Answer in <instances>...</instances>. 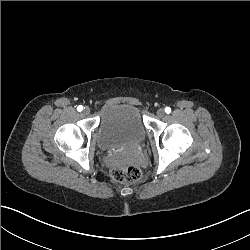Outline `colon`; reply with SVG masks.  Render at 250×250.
<instances>
[{
	"label": "colon",
	"mask_w": 250,
	"mask_h": 250,
	"mask_svg": "<svg viewBox=\"0 0 250 250\" xmlns=\"http://www.w3.org/2000/svg\"><path fill=\"white\" fill-rule=\"evenodd\" d=\"M111 179L115 183H139L143 179V170L139 166H132L120 162L114 163L109 170Z\"/></svg>",
	"instance_id": "5ec220e1"
}]
</instances>
